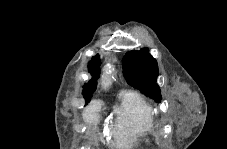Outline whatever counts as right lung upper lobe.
Returning <instances> with one entry per match:
<instances>
[{
    "mask_svg": "<svg viewBox=\"0 0 227 149\" xmlns=\"http://www.w3.org/2000/svg\"><path fill=\"white\" fill-rule=\"evenodd\" d=\"M100 65L101 61L99 55L92 57V60L89 62L88 71L92 75V79L83 86L82 95L86 99V102L90 101L92 93L96 90L97 79L100 75Z\"/></svg>",
    "mask_w": 227,
    "mask_h": 149,
    "instance_id": "right-lung-upper-lobe-1",
    "label": "right lung upper lobe"
}]
</instances>
